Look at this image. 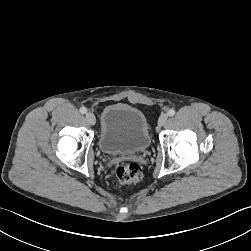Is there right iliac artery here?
Returning a JSON list of instances; mask_svg holds the SVG:
<instances>
[{"instance_id":"right-iliac-artery-1","label":"right iliac artery","mask_w":251,"mask_h":251,"mask_svg":"<svg viewBox=\"0 0 251 251\" xmlns=\"http://www.w3.org/2000/svg\"><path fill=\"white\" fill-rule=\"evenodd\" d=\"M87 112V109L85 107L80 108V113L85 114Z\"/></svg>"}]
</instances>
